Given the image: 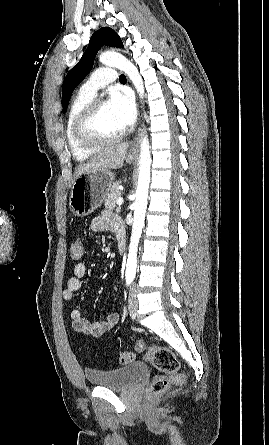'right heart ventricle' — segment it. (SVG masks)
Here are the masks:
<instances>
[{"instance_id": "e07e8e85", "label": "right heart ventricle", "mask_w": 269, "mask_h": 445, "mask_svg": "<svg viewBox=\"0 0 269 445\" xmlns=\"http://www.w3.org/2000/svg\"><path fill=\"white\" fill-rule=\"evenodd\" d=\"M93 99V96L80 91L73 99L67 116L66 138L69 149L77 161H85L90 158L97 149L81 147L73 136V124L79 112Z\"/></svg>"}]
</instances>
